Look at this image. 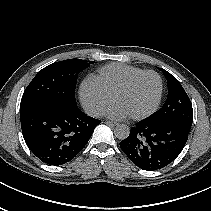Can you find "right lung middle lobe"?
<instances>
[{"mask_svg": "<svg viewBox=\"0 0 211 211\" xmlns=\"http://www.w3.org/2000/svg\"><path fill=\"white\" fill-rule=\"evenodd\" d=\"M92 63L94 62L68 59L46 66L36 74L25 89L20 111L53 104L77 107L75 100L77 76Z\"/></svg>", "mask_w": 211, "mask_h": 211, "instance_id": "dd1d6c3e", "label": "right lung middle lobe"}]
</instances>
